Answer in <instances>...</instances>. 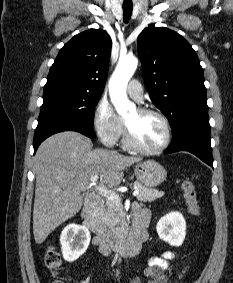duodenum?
I'll list each match as a JSON object with an SVG mask.
<instances>
[{
  "mask_svg": "<svg viewBox=\"0 0 233 283\" xmlns=\"http://www.w3.org/2000/svg\"><path fill=\"white\" fill-rule=\"evenodd\" d=\"M100 204V197L93 194L89 195L82 209L81 216L83 224L96 235L101 249L104 252L114 250L123 256H132L138 253L147 237L145 223H133L125 238H117L98 218L97 211Z\"/></svg>",
  "mask_w": 233,
  "mask_h": 283,
  "instance_id": "obj_1",
  "label": "duodenum"
}]
</instances>
